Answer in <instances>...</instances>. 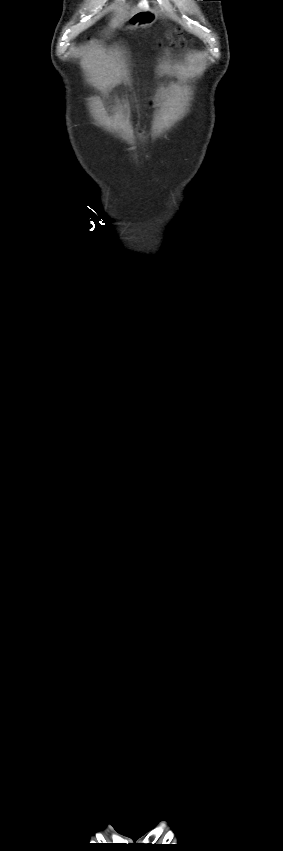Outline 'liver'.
<instances>
[{
  "instance_id": "6515ba94",
  "label": "liver",
  "mask_w": 283,
  "mask_h": 851,
  "mask_svg": "<svg viewBox=\"0 0 283 851\" xmlns=\"http://www.w3.org/2000/svg\"><path fill=\"white\" fill-rule=\"evenodd\" d=\"M139 6H140L141 8H148L147 3H145L144 1H142V2L139 4ZM138 11H139V9H138V8H135V9H133V10H132V13L134 14V13H136V12H138ZM118 12H119L120 16L123 18L124 13H123V8H122V7H118Z\"/></svg>"
}]
</instances>
